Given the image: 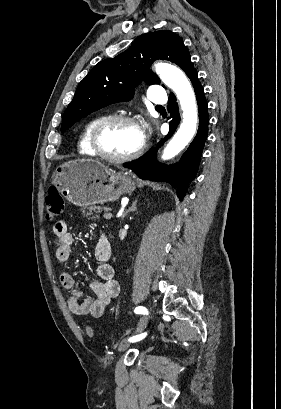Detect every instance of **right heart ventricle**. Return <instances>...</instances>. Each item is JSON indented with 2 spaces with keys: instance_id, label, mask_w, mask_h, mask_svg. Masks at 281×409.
Masks as SVG:
<instances>
[{
  "instance_id": "obj_1",
  "label": "right heart ventricle",
  "mask_w": 281,
  "mask_h": 409,
  "mask_svg": "<svg viewBox=\"0 0 281 409\" xmlns=\"http://www.w3.org/2000/svg\"><path fill=\"white\" fill-rule=\"evenodd\" d=\"M105 117H107L106 114H99L89 119L86 123L78 143V149L82 155L98 156L93 146V133L98 122Z\"/></svg>"
}]
</instances>
